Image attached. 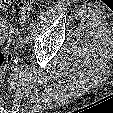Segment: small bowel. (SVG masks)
I'll use <instances>...</instances> for the list:
<instances>
[{
	"instance_id": "small-bowel-1",
	"label": "small bowel",
	"mask_w": 113,
	"mask_h": 113,
	"mask_svg": "<svg viewBox=\"0 0 113 113\" xmlns=\"http://www.w3.org/2000/svg\"><path fill=\"white\" fill-rule=\"evenodd\" d=\"M5 29L6 21L2 17H0V43H2L5 38Z\"/></svg>"
}]
</instances>
